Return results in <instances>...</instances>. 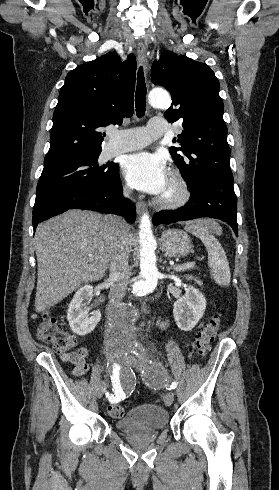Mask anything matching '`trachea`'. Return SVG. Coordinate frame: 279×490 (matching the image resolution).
Listing matches in <instances>:
<instances>
[{
  "instance_id": "3493384b",
  "label": "trachea",
  "mask_w": 279,
  "mask_h": 490,
  "mask_svg": "<svg viewBox=\"0 0 279 490\" xmlns=\"http://www.w3.org/2000/svg\"><path fill=\"white\" fill-rule=\"evenodd\" d=\"M135 105L138 117H142L146 107V84L142 67L137 76V87L135 93Z\"/></svg>"
}]
</instances>
